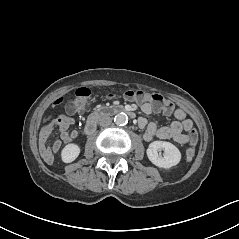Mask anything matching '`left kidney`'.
<instances>
[{"label": "left kidney", "mask_w": 239, "mask_h": 239, "mask_svg": "<svg viewBox=\"0 0 239 239\" xmlns=\"http://www.w3.org/2000/svg\"><path fill=\"white\" fill-rule=\"evenodd\" d=\"M162 151H164L163 155H161ZM146 155L153 165L166 170L178 165L182 158L180 150L166 141L151 142L146 150Z\"/></svg>", "instance_id": "1"}]
</instances>
